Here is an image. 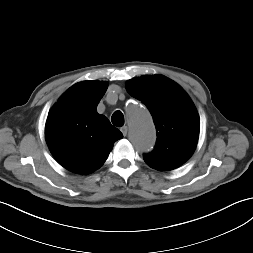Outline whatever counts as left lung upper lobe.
I'll use <instances>...</instances> for the list:
<instances>
[{
  "instance_id": "5c2ea615",
  "label": "left lung upper lobe",
  "mask_w": 253,
  "mask_h": 253,
  "mask_svg": "<svg viewBox=\"0 0 253 253\" xmlns=\"http://www.w3.org/2000/svg\"><path fill=\"white\" fill-rule=\"evenodd\" d=\"M127 92L149 109L156 127L155 149L144 161L160 171L175 169L193 154L200 120L187 93L163 75L142 76L126 82Z\"/></svg>"
}]
</instances>
